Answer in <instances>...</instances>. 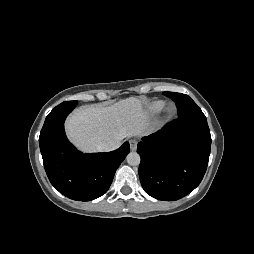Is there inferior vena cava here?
Segmentation results:
<instances>
[{"label": "inferior vena cava", "instance_id": "602c4592", "mask_svg": "<svg viewBox=\"0 0 254 254\" xmlns=\"http://www.w3.org/2000/svg\"><path fill=\"white\" fill-rule=\"evenodd\" d=\"M121 139H112L106 143H102L98 146V150L102 152L113 151L121 146Z\"/></svg>", "mask_w": 254, "mask_h": 254}]
</instances>
